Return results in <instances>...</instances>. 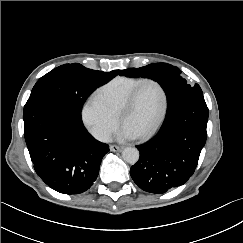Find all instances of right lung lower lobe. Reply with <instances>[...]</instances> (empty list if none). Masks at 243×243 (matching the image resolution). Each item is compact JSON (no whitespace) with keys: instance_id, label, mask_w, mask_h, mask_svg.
Listing matches in <instances>:
<instances>
[{"instance_id":"obj_1","label":"right lung lower lobe","mask_w":243,"mask_h":243,"mask_svg":"<svg viewBox=\"0 0 243 243\" xmlns=\"http://www.w3.org/2000/svg\"><path fill=\"white\" fill-rule=\"evenodd\" d=\"M23 119L37 175L60 193L79 194L89 189L109 146L88 133L81 113L62 99L30 95Z\"/></svg>"}]
</instances>
